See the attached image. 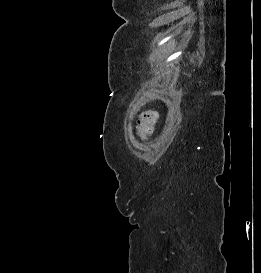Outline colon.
Segmentation results:
<instances>
[{
    "mask_svg": "<svg viewBox=\"0 0 261 273\" xmlns=\"http://www.w3.org/2000/svg\"><path fill=\"white\" fill-rule=\"evenodd\" d=\"M156 121V114L152 111H145L141 114L137 126L136 131L137 134L141 137L147 136L154 127Z\"/></svg>",
    "mask_w": 261,
    "mask_h": 273,
    "instance_id": "obj_1",
    "label": "colon"
}]
</instances>
